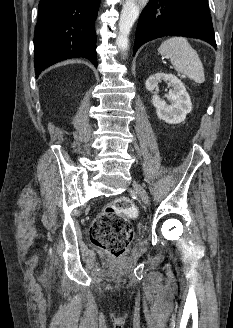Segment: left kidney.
I'll return each mask as SVG.
<instances>
[{
  "mask_svg": "<svg viewBox=\"0 0 233 328\" xmlns=\"http://www.w3.org/2000/svg\"><path fill=\"white\" fill-rule=\"evenodd\" d=\"M162 80L168 81L172 87L168 94L170 104L160 99L157 94L152 96V104L161 120L169 124L181 123L192 110L190 96L181 80L173 74L157 73L151 75L146 80L145 87L152 92Z\"/></svg>",
  "mask_w": 233,
  "mask_h": 328,
  "instance_id": "obj_1",
  "label": "left kidney"
}]
</instances>
